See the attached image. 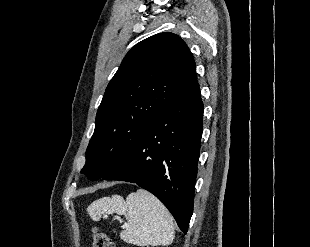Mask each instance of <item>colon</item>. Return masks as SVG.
I'll return each mask as SVG.
<instances>
[{"label": "colon", "mask_w": 310, "mask_h": 247, "mask_svg": "<svg viewBox=\"0 0 310 247\" xmlns=\"http://www.w3.org/2000/svg\"><path fill=\"white\" fill-rule=\"evenodd\" d=\"M92 245L93 247H115L109 236L97 228L93 231Z\"/></svg>", "instance_id": "obj_1"}]
</instances>
